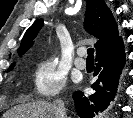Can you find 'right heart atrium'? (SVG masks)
<instances>
[{
  "instance_id": "d8ad5b80",
  "label": "right heart atrium",
  "mask_w": 133,
  "mask_h": 118,
  "mask_svg": "<svg viewBox=\"0 0 133 118\" xmlns=\"http://www.w3.org/2000/svg\"><path fill=\"white\" fill-rule=\"evenodd\" d=\"M66 88V73L54 58L40 60L34 69V89L40 98H51Z\"/></svg>"
}]
</instances>
